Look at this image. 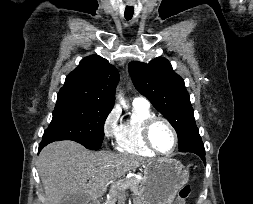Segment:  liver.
<instances>
[{"instance_id":"liver-1","label":"liver","mask_w":253,"mask_h":204,"mask_svg":"<svg viewBox=\"0 0 253 204\" xmlns=\"http://www.w3.org/2000/svg\"><path fill=\"white\" fill-rule=\"evenodd\" d=\"M148 161L140 156L91 151L73 141L47 145L38 157V172L46 204H61L69 195L87 194L95 200L107 184Z\"/></svg>"}]
</instances>
